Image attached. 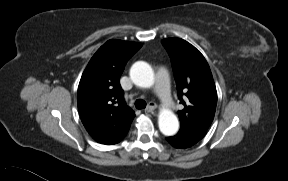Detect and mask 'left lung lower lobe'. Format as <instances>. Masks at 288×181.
Returning a JSON list of instances; mask_svg holds the SVG:
<instances>
[{"label": "left lung lower lobe", "instance_id": "left-lung-lower-lobe-1", "mask_svg": "<svg viewBox=\"0 0 288 181\" xmlns=\"http://www.w3.org/2000/svg\"><path fill=\"white\" fill-rule=\"evenodd\" d=\"M206 134L201 129H180L173 137H167L166 140L175 148H188L196 144Z\"/></svg>", "mask_w": 288, "mask_h": 181}]
</instances>
